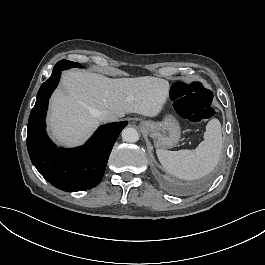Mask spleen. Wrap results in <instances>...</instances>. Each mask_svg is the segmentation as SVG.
Segmentation results:
<instances>
[{"label":"spleen","instance_id":"1","mask_svg":"<svg viewBox=\"0 0 265 265\" xmlns=\"http://www.w3.org/2000/svg\"><path fill=\"white\" fill-rule=\"evenodd\" d=\"M203 138L193 151L157 149L163 167L186 180L198 179L210 173L217 165L222 150L221 124L218 119L207 123Z\"/></svg>","mask_w":265,"mask_h":265}]
</instances>
